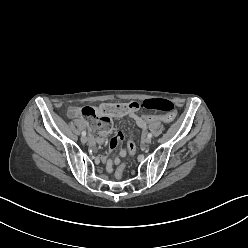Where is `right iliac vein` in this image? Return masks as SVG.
I'll use <instances>...</instances> for the list:
<instances>
[{"instance_id":"obj_1","label":"right iliac vein","mask_w":248,"mask_h":248,"mask_svg":"<svg viewBox=\"0 0 248 248\" xmlns=\"http://www.w3.org/2000/svg\"><path fill=\"white\" fill-rule=\"evenodd\" d=\"M81 142L85 144L87 142V137L86 136H82L81 137Z\"/></svg>"}]
</instances>
